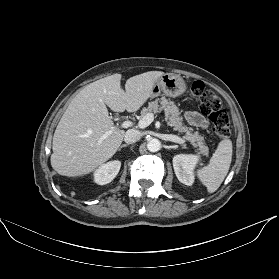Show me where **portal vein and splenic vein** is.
<instances>
[{"label": "portal vein and splenic vein", "instance_id": "1", "mask_svg": "<svg viewBox=\"0 0 279 279\" xmlns=\"http://www.w3.org/2000/svg\"><path fill=\"white\" fill-rule=\"evenodd\" d=\"M153 120H154V115L152 113H149V114L145 115L138 122V126H139L140 129H144L147 126H149L153 122ZM131 126H133V122H131V121H124L121 124L122 128H128V127H131ZM115 128H117V127H115ZM112 132H113V130H110V131L106 132L105 135L103 136V138H105L106 136L110 135ZM185 139L189 140L188 138H185ZM191 142H193V141H191ZM193 145H195V144H193Z\"/></svg>", "mask_w": 279, "mask_h": 279}]
</instances>
